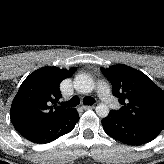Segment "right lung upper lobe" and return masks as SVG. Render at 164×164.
Returning <instances> with one entry per match:
<instances>
[{"instance_id": "1", "label": "right lung upper lobe", "mask_w": 164, "mask_h": 164, "mask_svg": "<svg viewBox=\"0 0 164 164\" xmlns=\"http://www.w3.org/2000/svg\"><path fill=\"white\" fill-rule=\"evenodd\" d=\"M75 71V68L66 70L48 66L34 71L23 81L10 110L16 131L24 134L74 112V108H68L67 103L60 100L59 85Z\"/></svg>"}]
</instances>
